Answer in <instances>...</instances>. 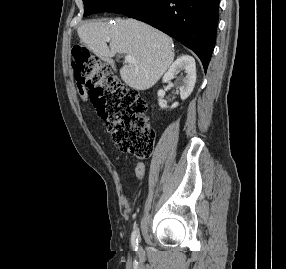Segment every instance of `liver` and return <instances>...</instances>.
<instances>
[{"label": "liver", "mask_w": 286, "mask_h": 269, "mask_svg": "<svg viewBox=\"0 0 286 269\" xmlns=\"http://www.w3.org/2000/svg\"><path fill=\"white\" fill-rule=\"evenodd\" d=\"M77 32L86 46L104 61H109L115 53L133 56L136 62L124 65L120 76L136 90L151 88L174 60L172 39L134 19H117L113 24L90 21ZM107 39H110L109 47Z\"/></svg>", "instance_id": "1"}]
</instances>
